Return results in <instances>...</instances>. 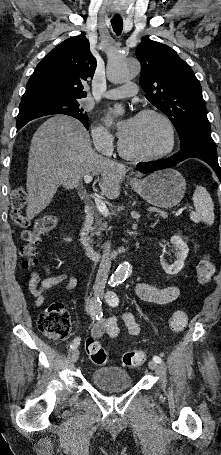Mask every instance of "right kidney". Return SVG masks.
I'll return each mask as SVG.
<instances>
[{"mask_svg": "<svg viewBox=\"0 0 221 455\" xmlns=\"http://www.w3.org/2000/svg\"><path fill=\"white\" fill-rule=\"evenodd\" d=\"M65 241H71V239H70V238H67V239H65Z\"/></svg>", "mask_w": 221, "mask_h": 455, "instance_id": "right-kidney-1", "label": "right kidney"}]
</instances>
